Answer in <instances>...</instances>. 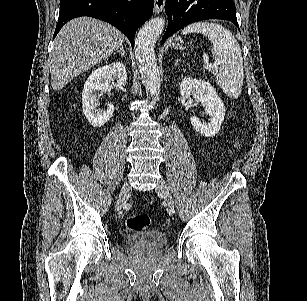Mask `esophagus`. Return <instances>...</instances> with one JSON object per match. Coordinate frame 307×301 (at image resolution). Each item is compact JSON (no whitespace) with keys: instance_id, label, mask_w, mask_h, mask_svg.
<instances>
[{"instance_id":"34e87169","label":"esophagus","mask_w":307,"mask_h":301,"mask_svg":"<svg viewBox=\"0 0 307 301\" xmlns=\"http://www.w3.org/2000/svg\"><path fill=\"white\" fill-rule=\"evenodd\" d=\"M165 0H155L154 13H160L164 9Z\"/></svg>"}]
</instances>
